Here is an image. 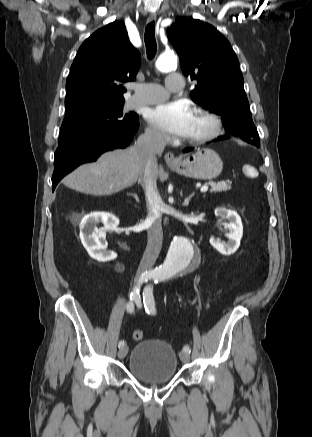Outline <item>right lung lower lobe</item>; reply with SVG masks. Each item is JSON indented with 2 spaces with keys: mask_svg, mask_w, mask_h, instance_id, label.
<instances>
[{
  "mask_svg": "<svg viewBox=\"0 0 312 437\" xmlns=\"http://www.w3.org/2000/svg\"><path fill=\"white\" fill-rule=\"evenodd\" d=\"M138 120L130 126L103 131L59 145L54 155L52 190L58 182L83 163L95 161L103 152L115 148H125L138 129Z\"/></svg>",
  "mask_w": 312,
  "mask_h": 437,
  "instance_id": "right-lung-lower-lobe-1",
  "label": "right lung lower lobe"
}]
</instances>
